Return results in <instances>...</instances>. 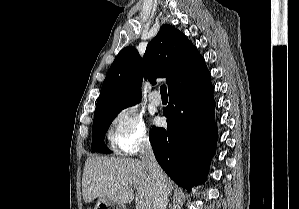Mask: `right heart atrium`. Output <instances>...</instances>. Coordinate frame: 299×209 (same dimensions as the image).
I'll list each match as a JSON object with an SVG mask.
<instances>
[{
    "mask_svg": "<svg viewBox=\"0 0 299 209\" xmlns=\"http://www.w3.org/2000/svg\"><path fill=\"white\" fill-rule=\"evenodd\" d=\"M107 136L116 150L129 155L151 144L143 117L131 108L120 109L112 116Z\"/></svg>",
    "mask_w": 299,
    "mask_h": 209,
    "instance_id": "1",
    "label": "right heart atrium"
}]
</instances>
